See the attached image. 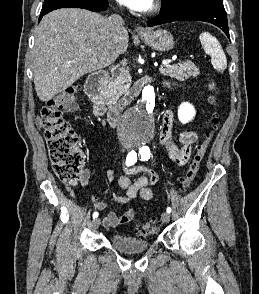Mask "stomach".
Segmentation results:
<instances>
[{"instance_id": "stomach-1", "label": "stomach", "mask_w": 259, "mask_h": 294, "mask_svg": "<svg viewBox=\"0 0 259 294\" xmlns=\"http://www.w3.org/2000/svg\"><path fill=\"white\" fill-rule=\"evenodd\" d=\"M140 37L146 45L158 52H167L174 48V38L165 30L146 31Z\"/></svg>"}]
</instances>
